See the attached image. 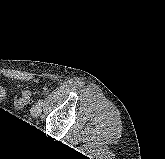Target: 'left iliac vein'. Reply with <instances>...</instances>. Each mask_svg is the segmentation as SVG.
<instances>
[{"label":"left iliac vein","mask_w":165,"mask_h":159,"mask_svg":"<svg viewBox=\"0 0 165 159\" xmlns=\"http://www.w3.org/2000/svg\"><path fill=\"white\" fill-rule=\"evenodd\" d=\"M40 108H41V105H39V103H37L36 105H34L33 110L36 112V111H39Z\"/></svg>","instance_id":"obj_1"}]
</instances>
